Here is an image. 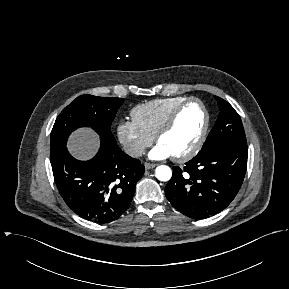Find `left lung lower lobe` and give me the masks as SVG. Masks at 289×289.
I'll list each match as a JSON object with an SVG mask.
<instances>
[{
    "label": "left lung lower lobe",
    "instance_id": "obj_1",
    "mask_svg": "<svg viewBox=\"0 0 289 289\" xmlns=\"http://www.w3.org/2000/svg\"><path fill=\"white\" fill-rule=\"evenodd\" d=\"M248 147L223 142L197 154L184 169L173 167L165 187L174 208L192 219H204L225 209L237 195L247 168Z\"/></svg>",
    "mask_w": 289,
    "mask_h": 289
}]
</instances>
